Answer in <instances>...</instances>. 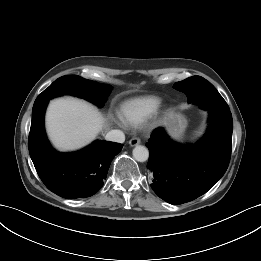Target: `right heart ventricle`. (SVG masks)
<instances>
[{"label": "right heart ventricle", "mask_w": 261, "mask_h": 261, "mask_svg": "<svg viewBox=\"0 0 261 261\" xmlns=\"http://www.w3.org/2000/svg\"><path fill=\"white\" fill-rule=\"evenodd\" d=\"M160 98L146 95L128 99L118 107V117L128 126H137L151 116L159 107Z\"/></svg>", "instance_id": "obj_1"}]
</instances>
